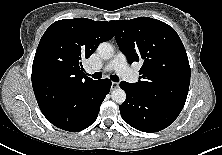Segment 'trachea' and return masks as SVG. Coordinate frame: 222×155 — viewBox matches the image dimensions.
Returning a JSON list of instances; mask_svg holds the SVG:
<instances>
[{
	"mask_svg": "<svg viewBox=\"0 0 222 155\" xmlns=\"http://www.w3.org/2000/svg\"><path fill=\"white\" fill-rule=\"evenodd\" d=\"M89 76H92V78L94 79H100L102 77V74L100 72H95L94 74H88ZM110 79L114 82H118L119 81V77L117 75H111Z\"/></svg>",
	"mask_w": 222,
	"mask_h": 155,
	"instance_id": "trachea-1",
	"label": "trachea"
}]
</instances>
